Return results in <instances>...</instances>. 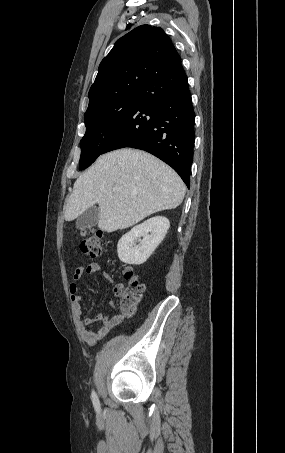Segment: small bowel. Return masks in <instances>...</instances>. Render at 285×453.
I'll use <instances>...</instances> for the list:
<instances>
[{"label": "small bowel", "instance_id": "obj_1", "mask_svg": "<svg viewBox=\"0 0 285 453\" xmlns=\"http://www.w3.org/2000/svg\"><path fill=\"white\" fill-rule=\"evenodd\" d=\"M100 270V267L96 263H91L87 266H79L73 275L74 281L69 285V292L71 297V307L72 315L76 325V328L85 343L90 346L95 345L98 341L103 339L109 331L119 325L124 316L122 314H116L112 317L103 316L101 313H98L94 316H88L82 318V309H81V296L78 294V284L76 281L81 279L84 275H90L96 273ZM102 278L105 282L111 283V276L103 272ZM118 289L116 287L115 291ZM94 323H101L97 329L91 328V325Z\"/></svg>", "mask_w": 285, "mask_h": 453}]
</instances>
